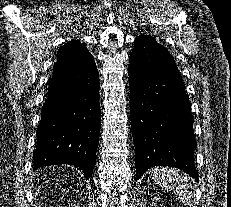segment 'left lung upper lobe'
<instances>
[{"label":"left lung upper lobe","instance_id":"obj_1","mask_svg":"<svg viewBox=\"0 0 231 207\" xmlns=\"http://www.w3.org/2000/svg\"><path fill=\"white\" fill-rule=\"evenodd\" d=\"M147 37H151V36H147V35H140V36H138V38H147Z\"/></svg>","mask_w":231,"mask_h":207}]
</instances>
